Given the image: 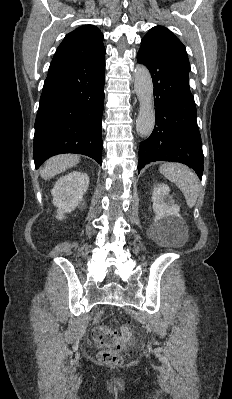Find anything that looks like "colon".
Here are the masks:
<instances>
[{
    "instance_id": "colon-1",
    "label": "colon",
    "mask_w": 232,
    "mask_h": 399,
    "mask_svg": "<svg viewBox=\"0 0 232 399\" xmlns=\"http://www.w3.org/2000/svg\"><path fill=\"white\" fill-rule=\"evenodd\" d=\"M132 335L129 330H124V326H95L92 330V341H96V347H100V358L104 365L122 364L121 358L115 359V353H123L127 345L126 341H131Z\"/></svg>"
}]
</instances>
